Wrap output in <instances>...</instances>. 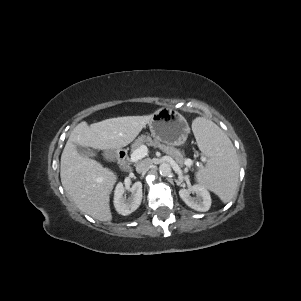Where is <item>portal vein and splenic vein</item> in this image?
I'll return each instance as SVG.
<instances>
[{
	"instance_id": "portal-vein-and-splenic-vein-1",
	"label": "portal vein and splenic vein",
	"mask_w": 301,
	"mask_h": 301,
	"mask_svg": "<svg viewBox=\"0 0 301 301\" xmlns=\"http://www.w3.org/2000/svg\"><path fill=\"white\" fill-rule=\"evenodd\" d=\"M148 155V148L146 145H141L139 148L134 150L131 154L130 161L131 162H137ZM203 161H205V158H203ZM192 164V161L189 159L188 162L186 161V165L190 166Z\"/></svg>"
}]
</instances>
